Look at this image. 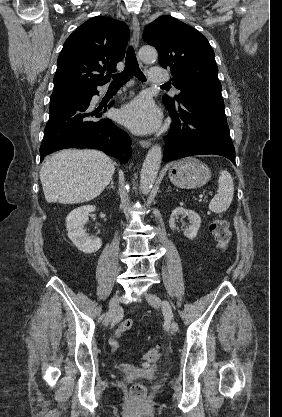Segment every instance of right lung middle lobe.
Masks as SVG:
<instances>
[{
	"instance_id": "obj_1",
	"label": "right lung middle lobe",
	"mask_w": 282,
	"mask_h": 417,
	"mask_svg": "<svg viewBox=\"0 0 282 417\" xmlns=\"http://www.w3.org/2000/svg\"><path fill=\"white\" fill-rule=\"evenodd\" d=\"M85 91H89V90H81V91H74V92H66V93H60V94H52L51 95V99L50 102H55L61 99H64L66 97H69L71 95H75V94H80L83 93Z\"/></svg>"
}]
</instances>
